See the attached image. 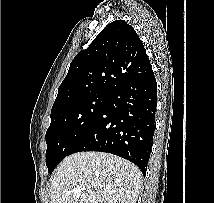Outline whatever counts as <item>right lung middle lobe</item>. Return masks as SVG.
<instances>
[{"instance_id": "dd1d6c3e", "label": "right lung middle lobe", "mask_w": 214, "mask_h": 203, "mask_svg": "<svg viewBox=\"0 0 214 203\" xmlns=\"http://www.w3.org/2000/svg\"><path fill=\"white\" fill-rule=\"evenodd\" d=\"M108 97V93H93L51 110V123L45 137L49 173L69 155L76 142L91 127Z\"/></svg>"}]
</instances>
